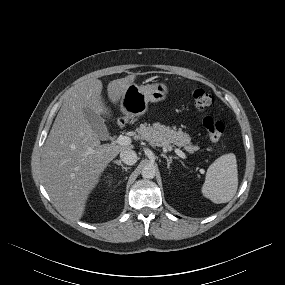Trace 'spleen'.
<instances>
[{"label": "spleen", "instance_id": "spleen-1", "mask_svg": "<svg viewBox=\"0 0 285 285\" xmlns=\"http://www.w3.org/2000/svg\"><path fill=\"white\" fill-rule=\"evenodd\" d=\"M238 188L236 156L233 153L217 158L207 169L203 195L216 204L229 202Z\"/></svg>", "mask_w": 285, "mask_h": 285}]
</instances>
